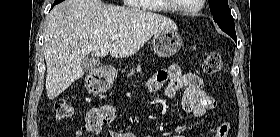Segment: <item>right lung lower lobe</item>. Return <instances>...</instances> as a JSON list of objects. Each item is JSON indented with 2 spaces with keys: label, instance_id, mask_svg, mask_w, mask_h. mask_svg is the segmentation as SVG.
<instances>
[{
  "label": "right lung lower lobe",
  "instance_id": "right-lung-lower-lobe-1",
  "mask_svg": "<svg viewBox=\"0 0 280 137\" xmlns=\"http://www.w3.org/2000/svg\"><path fill=\"white\" fill-rule=\"evenodd\" d=\"M56 4H58V3H54V4L52 5V7L55 6ZM52 7H51V8H52Z\"/></svg>",
  "mask_w": 280,
  "mask_h": 137
}]
</instances>
